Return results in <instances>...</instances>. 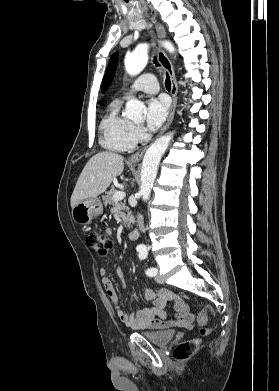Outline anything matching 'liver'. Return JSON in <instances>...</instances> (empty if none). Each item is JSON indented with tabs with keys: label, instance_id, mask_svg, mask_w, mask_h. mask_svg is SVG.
<instances>
[{
	"label": "liver",
	"instance_id": "6515ba94",
	"mask_svg": "<svg viewBox=\"0 0 279 391\" xmlns=\"http://www.w3.org/2000/svg\"><path fill=\"white\" fill-rule=\"evenodd\" d=\"M124 169L123 156L103 151L95 154L85 165L71 196V207L102 194L114 177Z\"/></svg>",
	"mask_w": 279,
	"mask_h": 391
}]
</instances>
